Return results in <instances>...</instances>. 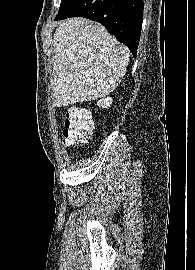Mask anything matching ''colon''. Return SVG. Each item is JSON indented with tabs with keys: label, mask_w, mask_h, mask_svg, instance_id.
<instances>
[{
	"label": "colon",
	"mask_w": 195,
	"mask_h": 270,
	"mask_svg": "<svg viewBox=\"0 0 195 270\" xmlns=\"http://www.w3.org/2000/svg\"><path fill=\"white\" fill-rule=\"evenodd\" d=\"M93 129L90 113L85 108L71 106L65 116L63 141L67 146L86 142Z\"/></svg>",
	"instance_id": "5ec220e1"
}]
</instances>
